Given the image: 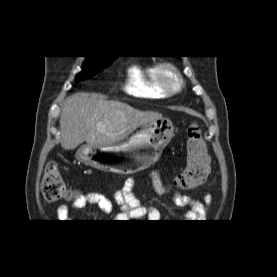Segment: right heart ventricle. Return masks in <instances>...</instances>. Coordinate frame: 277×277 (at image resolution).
<instances>
[{
	"mask_svg": "<svg viewBox=\"0 0 277 277\" xmlns=\"http://www.w3.org/2000/svg\"><path fill=\"white\" fill-rule=\"evenodd\" d=\"M125 90L128 94L145 99H164L167 95L160 89L153 64L136 65L128 70Z\"/></svg>",
	"mask_w": 277,
	"mask_h": 277,
	"instance_id": "e07e8e85",
	"label": "right heart ventricle"
}]
</instances>
